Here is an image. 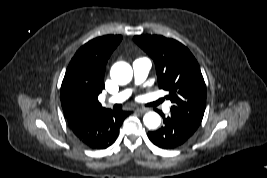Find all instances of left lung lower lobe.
Masks as SVG:
<instances>
[{
	"label": "left lung lower lobe",
	"instance_id": "1",
	"mask_svg": "<svg viewBox=\"0 0 267 178\" xmlns=\"http://www.w3.org/2000/svg\"><path fill=\"white\" fill-rule=\"evenodd\" d=\"M164 120V126L152 132H148L150 141L163 149H174L184 144L196 131L184 122L180 117L171 114L167 118L160 112Z\"/></svg>",
	"mask_w": 267,
	"mask_h": 178
}]
</instances>
